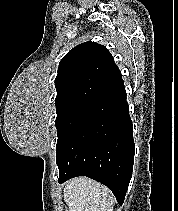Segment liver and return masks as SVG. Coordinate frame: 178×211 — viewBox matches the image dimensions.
I'll return each mask as SVG.
<instances>
[{
    "label": "liver",
    "mask_w": 178,
    "mask_h": 211,
    "mask_svg": "<svg viewBox=\"0 0 178 211\" xmlns=\"http://www.w3.org/2000/svg\"><path fill=\"white\" fill-rule=\"evenodd\" d=\"M63 192L69 211H113V194L89 178L78 177L68 181Z\"/></svg>",
    "instance_id": "liver-1"
}]
</instances>
